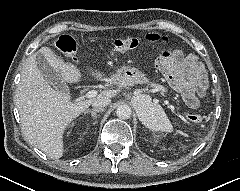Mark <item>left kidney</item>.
Returning a JSON list of instances; mask_svg holds the SVG:
<instances>
[{
	"label": "left kidney",
	"instance_id": "1",
	"mask_svg": "<svg viewBox=\"0 0 240 191\" xmlns=\"http://www.w3.org/2000/svg\"><path fill=\"white\" fill-rule=\"evenodd\" d=\"M159 138H161V135H155V136H154L155 142H158Z\"/></svg>",
	"mask_w": 240,
	"mask_h": 191
}]
</instances>
